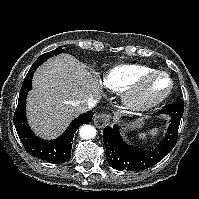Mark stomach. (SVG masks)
Returning <instances> with one entry per match:
<instances>
[{
  "label": "stomach",
  "instance_id": "0dacf381",
  "mask_svg": "<svg viewBox=\"0 0 199 199\" xmlns=\"http://www.w3.org/2000/svg\"><path fill=\"white\" fill-rule=\"evenodd\" d=\"M120 114L130 115V116H131V114H133V113L121 112ZM136 115H138L139 118H138L136 121H134L133 123L127 125V126L125 127V130L140 129V128H142V127L144 126L145 121H144L142 115H140V114H136Z\"/></svg>",
  "mask_w": 199,
  "mask_h": 199
}]
</instances>
